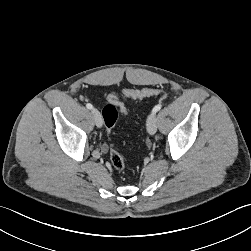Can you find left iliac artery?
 <instances>
[{"label": "left iliac artery", "instance_id": "left-iliac-artery-1", "mask_svg": "<svg viewBox=\"0 0 251 251\" xmlns=\"http://www.w3.org/2000/svg\"><path fill=\"white\" fill-rule=\"evenodd\" d=\"M161 108H162V105H161V104L156 105V106L153 108L152 113L158 112Z\"/></svg>", "mask_w": 251, "mask_h": 251}]
</instances>
